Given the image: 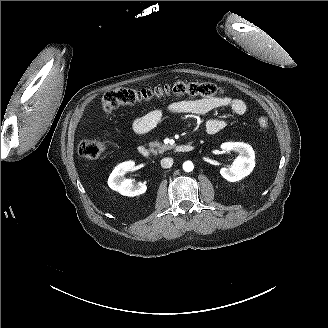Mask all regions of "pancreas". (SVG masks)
I'll list each match as a JSON object with an SVG mask.
<instances>
[{
	"label": "pancreas",
	"mask_w": 328,
	"mask_h": 328,
	"mask_svg": "<svg viewBox=\"0 0 328 328\" xmlns=\"http://www.w3.org/2000/svg\"><path fill=\"white\" fill-rule=\"evenodd\" d=\"M149 146L151 150H155V148H157L159 153H163L164 151L171 150L173 148L172 145H164L158 141L150 142Z\"/></svg>",
	"instance_id": "pancreas-1"
}]
</instances>
